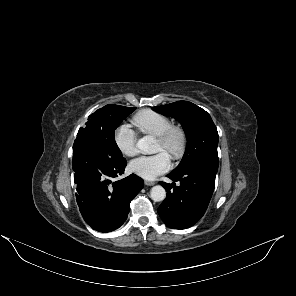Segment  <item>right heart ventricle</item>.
<instances>
[{
	"instance_id": "right-heart-ventricle-1",
	"label": "right heart ventricle",
	"mask_w": 296,
	"mask_h": 296,
	"mask_svg": "<svg viewBox=\"0 0 296 296\" xmlns=\"http://www.w3.org/2000/svg\"><path fill=\"white\" fill-rule=\"evenodd\" d=\"M132 123L142 134L153 137H158L172 125L169 117L151 110L136 114L132 118Z\"/></svg>"
}]
</instances>
